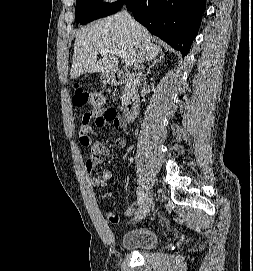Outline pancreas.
Masks as SVG:
<instances>
[{
    "mask_svg": "<svg viewBox=\"0 0 253 271\" xmlns=\"http://www.w3.org/2000/svg\"><path fill=\"white\" fill-rule=\"evenodd\" d=\"M127 100H128L127 88H125V91H123L122 97H121L122 105H124L127 102Z\"/></svg>",
    "mask_w": 253,
    "mask_h": 271,
    "instance_id": "pancreas-1",
    "label": "pancreas"
}]
</instances>
